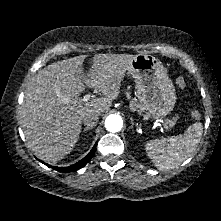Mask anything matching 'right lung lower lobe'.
<instances>
[{
    "instance_id": "right-lung-lower-lobe-1",
    "label": "right lung lower lobe",
    "mask_w": 221,
    "mask_h": 221,
    "mask_svg": "<svg viewBox=\"0 0 221 221\" xmlns=\"http://www.w3.org/2000/svg\"><path fill=\"white\" fill-rule=\"evenodd\" d=\"M95 150H96V144L94 145L92 150L88 153V155H86L82 160H80L79 162H77L71 166H68V167H56V166L48 165L46 163H44V164L51 167L54 170L59 171V172H64V173L74 172V171H77V170L81 169L82 167H84L91 160V158L93 157V155L95 153ZM40 162H42V161H40Z\"/></svg>"
}]
</instances>
